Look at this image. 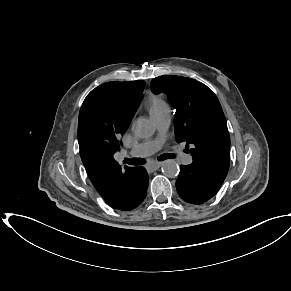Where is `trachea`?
Returning a JSON list of instances; mask_svg holds the SVG:
<instances>
[{"instance_id":"1","label":"trachea","mask_w":291,"mask_h":291,"mask_svg":"<svg viewBox=\"0 0 291 291\" xmlns=\"http://www.w3.org/2000/svg\"><path fill=\"white\" fill-rule=\"evenodd\" d=\"M173 158H175L174 154L167 153V154H163L160 157H158V160L163 161L165 159H173ZM124 162L136 166V165H143V164H145L146 161L144 159H141V158H133V159L125 160Z\"/></svg>"}]
</instances>
